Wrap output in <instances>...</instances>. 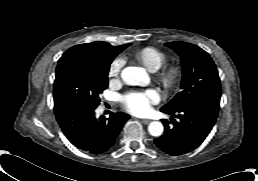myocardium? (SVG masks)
<instances>
[{
  "label": "myocardium",
  "instance_id": "1",
  "mask_svg": "<svg viewBox=\"0 0 258 181\" xmlns=\"http://www.w3.org/2000/svg\"><path fill=\"white\" fill-rule=\"evenodd\" d=\"M182 70L177 65L164 67L158 72V79L165 88L175 87L181 80Z\"/></svg>",
  "mask_w": 258,
  "mask_h": 181
}]
</instances>
